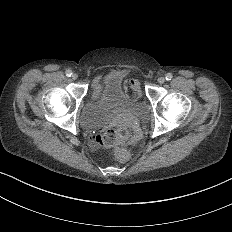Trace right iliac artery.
I'll use <instances>...</instances> for the list:
<instances>
[{
    "label": "right iliac artery",
    "instance_id": "1",
    "mask_svg": "<svg viewBox=\"0 0 232 232\" xmlns=\"http://www.w3.org/2000/svg\"><path fill=\"white\" fill-rule=\"evenodd\" d=\"M71 75H72L71 70H67V71H66V76H67V77H71Z\"/></svg>",
    "mask_w": 232,
    "mask_h": 232
}]
</instances>
